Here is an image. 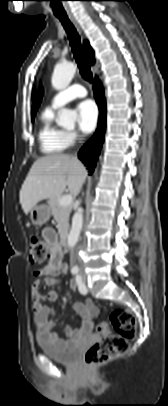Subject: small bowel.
<instances>
[{"instance_id":"1","label":"small bowel","mask_w":168,"mask_h":406,"mask_svg":"<svg viewBox=\"0 0 168 406\" xmlns=\"http://www.w3.org/2000/svg\"><path fill=\"white\" fill-rule=\"evenodd\" d=\"M43 237L51 245L52 251L49 262L42 269L34 272L36 280L31 286L34 322L38 335L45 340L58 347L71 346L81 337L92 333L94 328L93 317L97 315L98 307L91 300H87L85 303H75L74 310L83 318L82 326L79 329L66 326L64 330L66 340L53 331L55 322L50 319V316L54 314L55 309L46 301L53 302L57 300L58 296L54 290L48 291L45 295L41 294L39 288L43 283L48 286L56 284L58 276L66 272L67 266L63 262V253L58 245L56 232L51 228H46L43 231ZM70 287L75 290L76 284L72 282Z\"/></svg>"}]
</instances>
